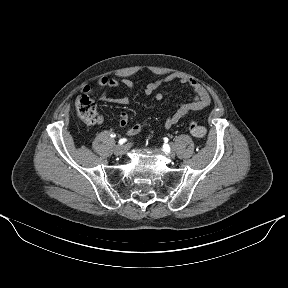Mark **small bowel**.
<instances>
[{"instance_id": "obj_1", "label": "small bowel", "mask_w": 288, "mask_h": 288, "mask_svg": "<svg viewBox=\"0 0 288 288\" xmlns=\"http://www.w3.org/2000/svg\"><path fill=\"white\" fill-rule=\"evenodd\" d=\"M173 81H178L181 84L188 85L194 93V98L179 106V108L174 112L164 123L165 128H171L176 125L180 120L185 118L190 113H197L211 104V98L207 90L196 80L183 75V74H170L164 78L158 79L149 83L145 88L146 95L154 94L157 101L163 99V94L157 92L158 88L163 84L170 83ZM95 85L99 88H103L100 95V100L104 103L125 106L130 102V94L133 90V83L129 79H123L121 81L115 80L109 77H101L96 82ZM122 85L126 89V94L122 97H110L107 93L108 88H115ZM91 91V87L86 85L82 89V93L87 94ZM128 114L124 111L120 112L118 118V124L120 127H126L128 124ZM102 122V117H99L98 123ZM141 131V125L139 123L129 126L126 130V134L131 136L139 133Z\"/></svg>"}]
</instances>
